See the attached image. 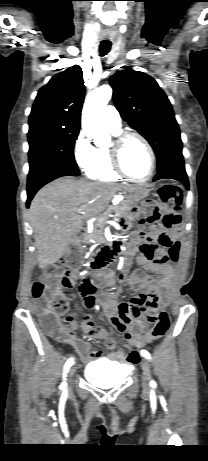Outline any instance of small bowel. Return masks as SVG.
Masks as SVG:
<instances>
[{"label":"small bowel","mask_w":208,"mask_h":461,"mask_svg":"<svg viewBox=\"0 0 208 461\" xmlns=\"http://www.w3.org/2000/svg\"><path fill=\"white\" fill-rule=\"evenodd\" d=\"M142 204H127L126 210L130 214H123L122 220L129 222L132 217H141ZM159 249L169 251H141L137 255V262L145 270L157 275L152 277L142 270H135L127 276L128 263L126 262L121 273V285L116 292L106 294L100 300V305L110 325L119 333H122L127 340H142L141 333L148 330L159 307L170 301V286L174 279V268L180 262V253L183 252V245H180V229H159ZM126 255H136L137 248L128 244L125 249ZM66 269V278L73 280L75 274L80 270L81 265L76 256H69ZM90 277H81L78 288L79 296L75 291H65L62 295L63 301L69 308L76 306L75 302L83 299L87 309H94L98 304L96 299L97 287L101 286L99 277H108V272L91 271ZM96 277H98L96 279ZM133 291H139L129 302H121L120 297L125 285ZM58 321L60 324L70 323L69 326H62V336L59 338L63 343L75 348L78 355L85 361L96 360L101 356L98 350H91L89 343L77 336L76 331L80 330L85 335L103 340L106 346L113 350L114 341L108 337L107 332L95 323L91 314L84 315L82 320L77 319L74 313H60ZM109 359L122 363H135L138 354L127 353L125 349L113 350ZM128 368V367H127Z\"/></svg>","instance_id":"obj_1"}]
</instances>
